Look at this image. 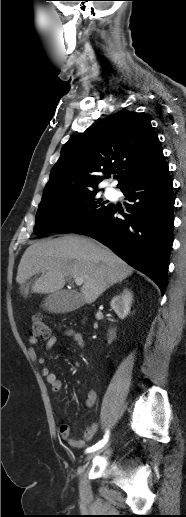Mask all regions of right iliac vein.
Returning a JSON list of instances; mask_svg holds the SVG:
<instances>
[{
	"label": "right iliac vein",
	"mask_w": 186,
	"mask_h": 517,
	"mask_svg": "<svg viewBox=\"0 0 186 517\" xmlns=\"http://www.w3.org/2000/svg\"><path fill=\"white\" fill-rule=\"evenodd\" d=\"M102 451H103V449H99V450H96V451H93V452L89 453L86 456V461H90L91 459H93L94 457L99 455Z\"/></svg>",
	"instance_id": "63e3f726"
}]
</instances>
